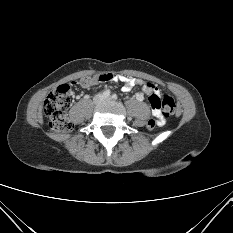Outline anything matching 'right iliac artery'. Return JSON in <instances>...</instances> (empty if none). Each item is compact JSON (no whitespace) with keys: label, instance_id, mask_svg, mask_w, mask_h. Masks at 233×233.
<instances>
[{"label":"right iliac artery","instance_id":"obj_1","mask_svg":"<svg viewBox=\"0 0 233 233\" xmlns=\"http://www.w3.org/2000/svg\"><path fill=\"white\" fill-rule=\"evenodd\" d=\"M110 90H105L104 92H103V96H105V97H109L110 96Z\"/></svg>","mask_w":233,"mask_h":233}]
</instances>
